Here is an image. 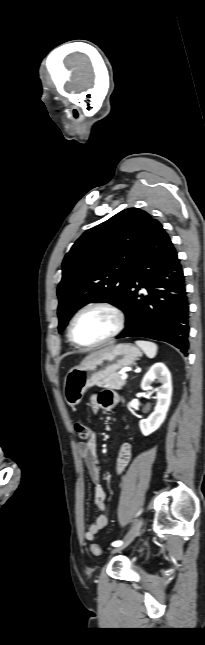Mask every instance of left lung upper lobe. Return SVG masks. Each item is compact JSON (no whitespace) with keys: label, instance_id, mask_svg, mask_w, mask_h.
<instances>
[{"label":"left lung upper lobe","instance_id":"obj_1","mask_svg":"<svg viewBox=\"0 0 205 645\" xmlns=\"http://www.w3.org/2000/svg\"><path fill=\"white\" fill-rule=\"evenodd\" d=\"M152 217L138 208L125 209L87 230L62 263L57 289L59 332L89 302H108L121 309L130 268Z\"/></svg>","mask_w":205,"mask_h":645}]
</instances>
